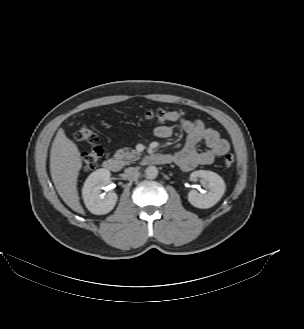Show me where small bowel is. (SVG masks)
Here are the masks:
<instances>
[{
    "label": "small bowel",
    "mask_w": 304,
    "mask_h": 329,
    "mask_svg": "<svg viewBox=\"0 0 304 329\" xmlns=\"http://www.w3.org/2000/svg\"><path fill=\"white\" fill-rule=\"evenodd\" d=\"M180 125L186 133L184 146L170 157L172 162L183 171H191L198 166L208 165L218 157L224 156L230 150L229 142L222 138L217 130L208 127L199 119L180 120ZM155 135L161 139H167L173 134V127L168 124L155 128ZM204 142L207 149L198 151L197 146Z\"/></svg>",
    "instance_id": "c3829d8e"
}]
</instances>
